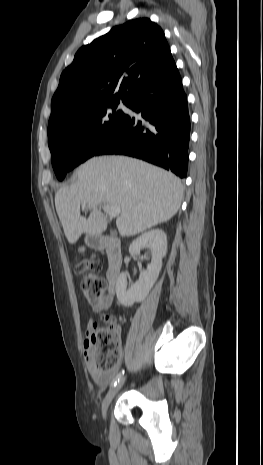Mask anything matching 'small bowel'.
Returning <instances> with one entry per match:
<instances>
[{
	"label": "small bowel",
	"mask_w": 263,
	"mask_h": 465,
	"mask_svg": "<svg viewBox=\"0 0 263 465\" xmlns=\"http://www.w3.org/2000/svg\"><path fill=\"white\" fill-rule=\"evenodd\" d=\"M112 290L109 294L107 295H104L101 299L95 301V302H92V308L94 311L96 312H99V311H102V310H105V309H108L111 305H112V302H113V295H112ZM96 323L94 322V320H90L88 322V325H87V338L89 337V335L91 334L93 328L95 327ZM85 357H86V361H87V367H88V371L90 373V375L92 376V378L94 379V381L100 385V386H106L108 384V382L112 379V377L114 376L115 372H116V369L110 371V372H106V373H103V372H100L96 369L93 361H92V357H91V350H90V346L88 345V343L85 341Z\"/></svg>",
	"instance_id": "1"
}]
</instances>
